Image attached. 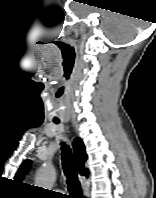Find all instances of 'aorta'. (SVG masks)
Here are the masks:
<instances>
[{
    "label": "aorta",
    "instance_id": "762f6f07",
    "mask_svg": "<svg viewBox=\"0 0 156 198\" xmlns=\"http://www.w3.org/2000/svg\"><path fill=\"white\" fill-rule=\"evenodd\" d=\"M56 181V170L53 165L46 163L38 171L35 179L36 186L44 189L53 187Z\"/></svg>",
    "mask_w": 156,
    "mask_h": 198
}]
</instances>
